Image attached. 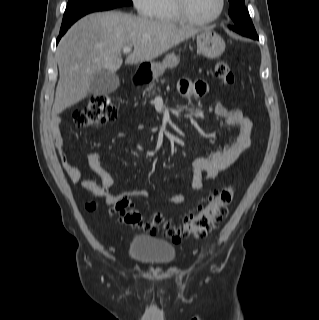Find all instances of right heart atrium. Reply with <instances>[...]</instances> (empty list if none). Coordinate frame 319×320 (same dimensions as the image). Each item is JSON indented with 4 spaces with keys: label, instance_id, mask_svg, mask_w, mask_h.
<instances>
[{
    "label": "right heart atrium",
    "instance_id": "right-heart-atrium-1",
    "mask_svg": "<svg viewBox=\"0 0 319 320\" xmlns=\"http://www.w3.org/2000/svg\"><path fill=\"white\" fill-rule=\"evenodd\" d=\"M137 12L142 16L153 17L159 0H132Z\"/></svg>",
    "mask_w": 319,
    "mask_h": 320
}]
</instances>
